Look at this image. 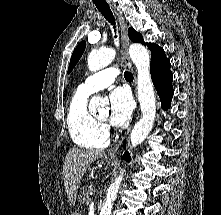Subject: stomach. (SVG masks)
<instances>
[{"mask_svg":"<svg viewBox=\"0 0 221 215\" xmlns=\"http://www.w3.org/2000/svg\"><path fill=\"white\" fill-rule=\"evenodd\" d=\"M108 163H114V159L107 158ZM73 215H79L78 213H74Z\"/></svg>","mask_w":221,"mask_h":215,"instance_id":"stomach-1","label":"stomach"}]
</instances>
